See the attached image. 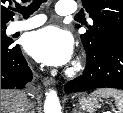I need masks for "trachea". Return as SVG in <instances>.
Instances as JSON below:
<instances>
[{
	"mask_svg": "<svg viewBox=\"0 0 123 113\" xmlns=\"http://www.w3.org/2000/svg\"><path fill=\"white\" fill-rule=\"evenodd\" d=\"M47 0H33L28 7L25 6H16L14 8L15 12L21 13L24 18H28L31 14H33L35 11H37L42 3H45Z\"/></svg>",
	"mask_w": 123,
	"mask_h": 113,
	"instance_id": "3493384b",
	"label": "trachea"
}]
</instances>
